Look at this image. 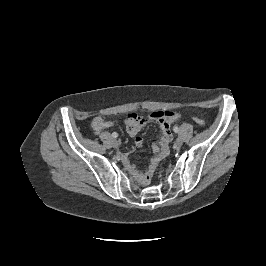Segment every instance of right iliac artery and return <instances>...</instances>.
Instances as JSON below:
<instances>
[{"instance_id": "right-iliac-artery-1", "label": "right iliac artery", "mask_w": 266, "mask_h": 266, "mask_svg": "<svg viewBox=\"0 0 266 266\" xmlns=\"http://www.w3.org/2000/svg\"><path fill=\"white\" fill-rule=\"evenodd\" d=\"M112 137H113V138H117V137H118V134H117L116 132H113V133H112Z\"/></svg>"}]
</instances>
